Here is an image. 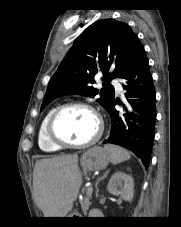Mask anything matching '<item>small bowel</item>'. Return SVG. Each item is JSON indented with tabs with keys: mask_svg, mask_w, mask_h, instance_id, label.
Listing matches in <instances>:
<instances>
[{
	"mask_svg": "<svg viewBox=\"0 0 181 227\" xmlns=\"http://www.w3.org/2000/svg\"><path fill=\"white\" fill-rule=\"evenodd\" d=\"M93 215H98L99 213L97 211L92 212Z\"/></svg>",
	"mask_w": 181,
	"mask_h": 227,
	"instance_id": "1",
	"label": "small bowel"
}]
</instances>
